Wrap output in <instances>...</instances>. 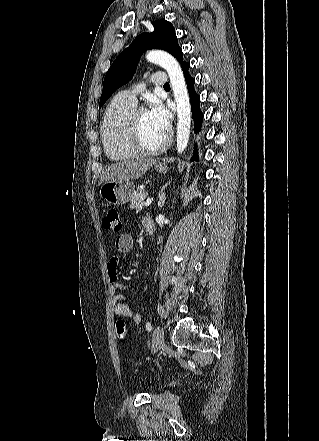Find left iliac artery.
<instances>
[{
  "label": "left iliac artery",
  "instance_id": "44dca946",
  "mask_svg": "<svg viewBox=\"0 0 319 441\" xmlns=\"http://www.w3.org/2000/svg\"><path fill=\"white\" fill-rule=\"evenodd\" d=\"M146 329L150 332L152 330V326L149 322L146 323Z\"/></svg>",
  "mask_w": 319,
  "mask_h": 441
}]
</instances>
